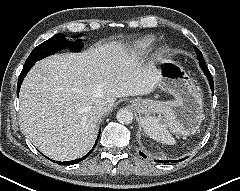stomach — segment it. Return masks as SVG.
<instances>
[{"instance_id":"stomach-1","label":"stomach","mask_w":240,"mask_h":191,"mask_svg":"<svg viewBox=\"0 0 240 191\" xmlns=\"http://www.w3.org/2000/svg\"><path fill=\"white\" fill-rule=\"evenodd\" d=\"M158 72V87L173 95L175 99L166 102L142 98L131 100L133 107L143 116L142 126L144 127L143 118L160 113L173 132L181 135L193 134L203 119L201 94L192 79L177 63L166 62Z\"/></svg>"}]
</instances>
